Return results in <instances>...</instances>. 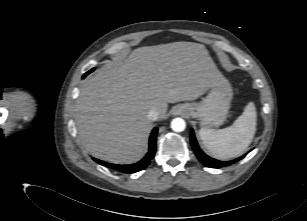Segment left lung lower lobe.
Instances as JSON below:
<instances>
[{"mask_svg":"<svg viewBox=\"0 0 307 221\" xmlns=\"http://www.w3.org/2000/svg\"><path fill=\"white\" fill-rule=\"evenodd\" d=\"M190 140H191V145H192V148L194 150L195 155L200 160V162L202 164H204L205 166H207V167L221 168V167H224V166H228V165L236 163L237 161L241 160L245 156V155H243V156H241V157H239L237 159L231 160V161H219V160H216L214 158H211V157L207 156L199 148L193 130L191 131V138H190Z\"/></svg>","mask_w":307,"mask_h":221,"instance_id":"1","label":"left lung lower lobe"}]
</instances>
